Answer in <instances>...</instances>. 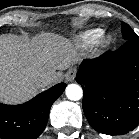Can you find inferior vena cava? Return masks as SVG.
<instances>
[{"mask_svg": "<svg viewBox=\"0 0 139 139\" xmlns=\"http://www.w3.org/2000/svg\"><path fill=\"white\" fill-rule=\"evenodd\" d=\"M56 80V76L52 74H43L37 80V85L39 88H44L53 84Z\"/></svg>", "mask_w": 139, "mask_h": 139, "instance_id": "602c4592", "label": "inferior vena cava"}]
</instances>
